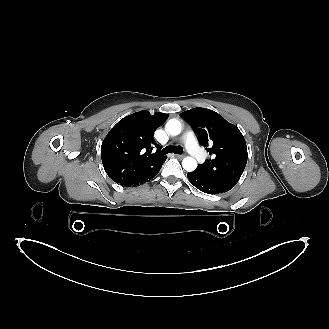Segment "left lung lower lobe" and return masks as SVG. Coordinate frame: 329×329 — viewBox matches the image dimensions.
<instances>
[{
	"label": "left lung lower lobe",
	"mask_w": 329,
	"mask_h": 329,
	"mask_svg": "<svg viewBox=\"0 0 329 329\" xmlns=\"http://www.w3.org/2000/svg\"><path fill=\"white\" fill-rule=\"evenodd\" d=\"M187 177L192 185H194L197 189L204 193L218 194L229 191V189H227L226 187L208 180L196 171L187 173Z\"/></svg>",
	"instance_id": "left-lung-lower-lobe-1"
}]
</instances>
